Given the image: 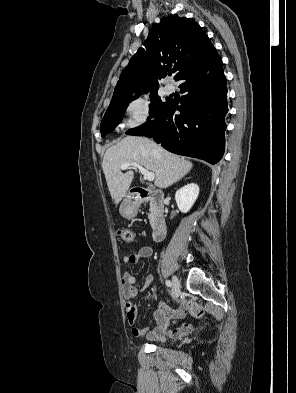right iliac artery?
<instances>
[{"instance_id": "obj_1", "label": "right iliac artery", "mask_w": 296, "mask_h": 393, "mask_svg": "<svg viewBox=\"0 0 296 393\" xmlns=\"http://www.w3.org/2000/svg\"><path fill=\"white\" fill-rule=\"evenodd\" d=\"M166 285L168 286V287H172V282L170 281V280H166Z\"/></svg>"}]
</instances>
